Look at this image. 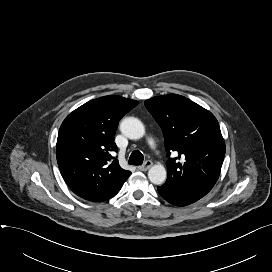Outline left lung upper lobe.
<instances>
[{
	"instance_id": "5c2ea615",
	"label": "left lung upper lobe",
	"mask_w": 272,
	"mask_h": 272,
	"mask_svg": "<svg viewBox=\"0 0 272 272\" xmlns=\"http://www.w3.org/2000/svg\"><path fill=\"white\" fill-rule=\"evenodd\" d=\"M145 106L164 133L165 148L178 154L167 160L166 184L186 181L214 186L225 156V142L215 116L177 94L156 96Z\"/></svg>"
}]
</instances>
